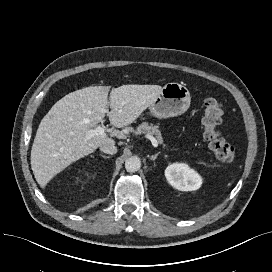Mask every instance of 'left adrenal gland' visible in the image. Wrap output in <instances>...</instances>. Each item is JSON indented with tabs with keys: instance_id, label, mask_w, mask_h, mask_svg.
I'll list each match as a JSON object with an SVG mask.
<instances>
[{
	"instance_id": "left-adrenal-gland-1",
	"label": "left adrenal gland",
	"mask_w": 272,
	"mask_h": 272,
	"mask_svg": "<svg viewBox=\"0 0 272 272\" xmlns=\"http://www.w3.org/2000/svg\"><path fill=\"white\" fill-rule=\"evenodd\" d=\"M159 154H160V152H157L155 155L148 156V157H149L150 160L154 161Z\"/></svg>"
}]
</instances>
